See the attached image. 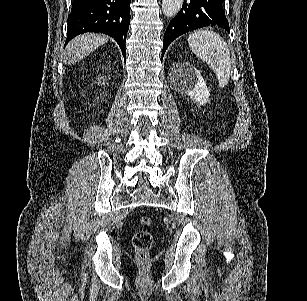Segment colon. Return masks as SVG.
Masks as SVG:
<instances>
[{"mask_svg": "<svg viewBox=\"0 0 307 301\" xmlns=\"http://www.w3.org/2000/svg\"><path fill=\"white\" fill-rule=\"evenodd\" d=\"M140 225L143 227H150L152 219L150 216H142L140 218ZM154 239L153 235L148 230L137 231L132 239V244L135 249L136 258L139 262H146L149 258V251L152 248Z\"/></svg>", "mask_w": 307, "mask_h": 301, "instance_id": "1", "label": "colon"}]
</instances>
